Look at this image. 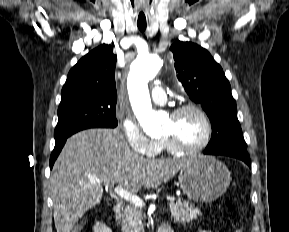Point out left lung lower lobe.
I'll list each match as a JSON object with an SVG mask.
<instances>
[{
  "label": "left lung lower lobe",
  "mask_w": 289,
  "mask_h": 232,
  "mask_svg": "<svg viewBox=\"0 0 289 232\" xmlns=\"http://www.w3.org/2000/svg\"><path fill=\"white\" fill-rule=\"evenodd\" d=\"M204 154L225 155V156L238 158L244 161L251 168V162H250V158H249L246 148H227V149H221V150H216V151L205 150Z\"/></svg>",
  "instance_id": "0a47b994"
}]
</instances>
